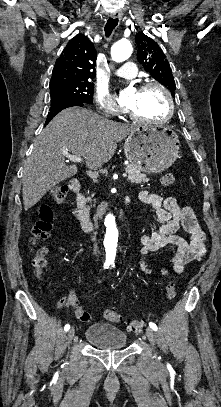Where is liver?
<instances>
[{
  "label": "liver",
  "instance_id": "6515ba94",
  "mask_svg": "<svg viewBox=\"0 0 221 407\" xmlns=\"http://www.w3.org/2000/svg\"><path fill=\"white\" fill-rule=\"evenodd\" d=\"M136 128L86 108L71 107L58 113L35 140L24 165V209L29 210L54 186L77 174V166H68L64 153L80 156L88 169L97 170L113 157L117 143Z\"/></svg>",
  "mask_w": 221,
  "mask_h": 407
}]
</instances>
